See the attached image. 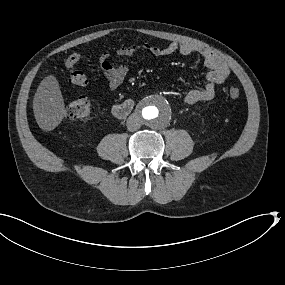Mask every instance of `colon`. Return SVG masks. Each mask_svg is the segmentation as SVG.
I'll return each instance as SVG.
<instances>
[{
	"mask_svg": "<svg viewBox=\"0 0 285 285\" xmlns=\"http://www.w3.org/2000/svg\"><path fill=\"white\" fill-rule=\"evenodd\" d=\"M80 59L78 52L72 53L65 61L69 70V79L75 85H84L87 82L84 71L77 66ZM230 98L237 99L240 91L236 87H231L228 91ZM92 112V103L88 97L80 96L72 100L66 108V116L72 120H86Z\"/></svg>",
	"mask_w": 285,
	"mask_h": 285,
	"instance_id": "obj_1",
	"label": "colon"
}]
</instances>
